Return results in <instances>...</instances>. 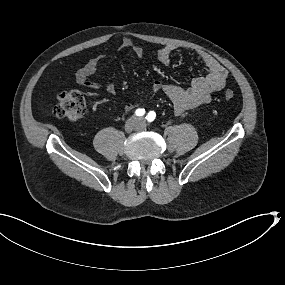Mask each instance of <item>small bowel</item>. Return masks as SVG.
Wrapping results in <instances>:
<instances>
[{"label":"small bowel","instance_id":"obj_1","mask_svg":"<svg viewBox=\"0 0 285 285\" xmlns=\"http://www.w3.org/2000/svg\"><path fill=\"white\" fill-rule=\"evenodd\" d=\"M120 49H131L134 54L142 58L145 51L141 46L135 45L129 37H124L120 44ZM175 51L173 46H164L158 49L155 53L157 59L163 64H169L171 56ZM198 57L203 61L208 69L205 76H198L192 79L191 84L187 88H183L173 84H161L155 82L153 89L155 92H162L173 104L176 114H181L187 110L194 109L211 101L212 94L215 91L221 90L227 78V71L213 56L204 52L198 51ZM98 59L89 60L76 74V81L88 89L97 90L104 89L108 94L116 93V86L112 82L101 83L99 81L89 80L98 67ZM134 107L133 104L125 105V110H130Z\"/></svg>","mask_w":285,"mask_h":285}]
</instances>
